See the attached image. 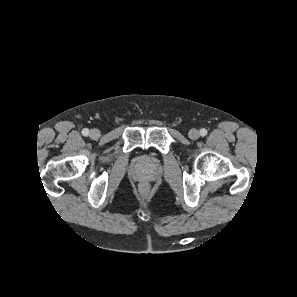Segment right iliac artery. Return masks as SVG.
Listing matches in <instances>:
<instances>
[{
  "label": "right iliac artery",
  "instance_id": "1",
  "mask_svg": "<svg viewBox=\"0 0 297 297\" xmlns=\"http://www.w3.org/2000/svg\"><path fill=\"white\" fill-rule=\"evenodd\" d=\"M82 134H83L84 136H87V135L89 134V130H88L87 128H84V129L82 130Z\"/></svg>",
  "mask_w": 297,
  "mask_h": 297
}]
</instances>
